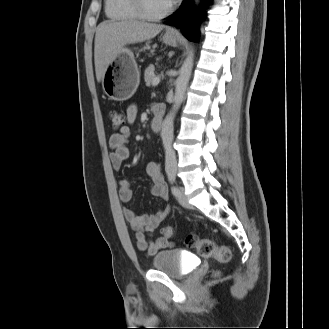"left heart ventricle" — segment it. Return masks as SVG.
<instances>
[{
  "label": "left heart ventricle",
  "instance_id": "obj_1",
  "mask_svg": "<svg viewBox=\"0 0 329 329\" xmlns=\"http://www.w3.org/2000/svg\"><path fill=\"white\" fill-rule=\"evenodd\" d=\"M144 3L147 10L154 14L160 13L170 6L167 0H144Z\"/></svg>",
  "mask_w": 329,
  "mask_h": 329
}]
</instances>
